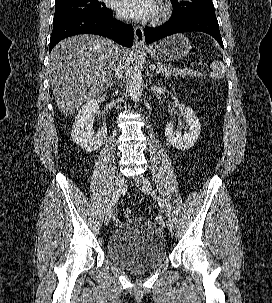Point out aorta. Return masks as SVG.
<instances>
[{"label": "aorta", "instance_id": "762f6f07", "mask_svg": "<svg viewBox=\"0 0 272 303\" xmlns=\"http://www.w3.org/2000/svg\"><path fill=\"white\" fill-rule=\"evenodd\" d=\"M143 77L139 66L137 64H133L131 66V75H130V83H129V93L131 98L137 102L139 101L142 92H143Z\"/></svg>", "mask_w": 272, "mask_h": 303}]
</instances>
